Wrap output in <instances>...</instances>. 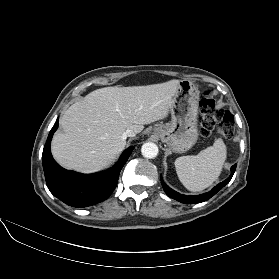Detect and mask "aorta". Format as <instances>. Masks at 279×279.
Listing matches in <instances>:
<instances>
[{"instance_id":"aorta-1","label":"aorta","mask_w":279,"mask_h":279,"mask_svg":"<svg viewBox=\"0 0 279 279\" xmlns=\"http://www.w3.org/2000/svg\"><path fill=\"white\" fill-rule=\"evenodd\" d=\"M141 153L145 158H155L158 155V146L153 142H146L142 145Z\"/></svg>"}]
</instances>
